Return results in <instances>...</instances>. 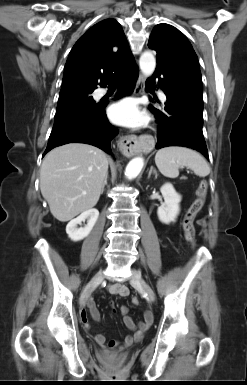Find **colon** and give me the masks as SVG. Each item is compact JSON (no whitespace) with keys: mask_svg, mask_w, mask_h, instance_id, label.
I'll return each mask as SVG.
<instances>
[{"mask_svg":"<svg viewBox=\"0 0 247 385\" xmlns=\"http://www.w3.org/2000/svg\"><path fill=\"white\" fill-rule=\"evenodd\" d=\"M208 185L205 181H202L196 192V199L193 201L187 212L185 213L182 227L186 241L192 246H195V226L194 220L197 214L201 211L204 206ZM138 299L134 298L133 303L138 304Z\"/></svg>","mask_w":247,"mask_h":385,"instance_id":"colon-1","label":"colon"}]
</instances>
